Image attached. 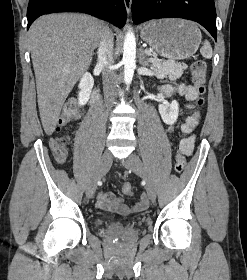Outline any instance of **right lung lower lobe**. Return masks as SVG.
<instances>
[{"label":"right lung lower lobe","mask_w":247,"mask_h":280,"mask_svg":"<svg viewBox=\"0 0 247 280\" xmlns=\"http://www.w3.org/2000/svg\"><path fill=\"white\" fill-rule=\"evenodd\" d=\"M53 12H83L121 28L126 22L123 0H29L27 28L39 16Z\"/></svg>","instance_id":"obj_1"}]
</instances>
